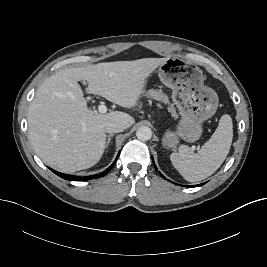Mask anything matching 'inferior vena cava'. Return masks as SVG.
I'll list each match as a JSON object with an SVG mask.
<instances>
[{
  "mask_svg": "<svg viewBox=\"0 0 267 267\" xmlns=\"http://www.w3.org/2000/svg\"><path fill=\"white\" fill-rule=\"evenodd\" d=\"M127 126L117 120L109 121L105 124L104 130L106 133H119L126 129Z\"/></svg>",
  "mask_w": 267,
  "mask_h": 267,
  "instance_id": "602c4592",
  "label": "inferior vena cava"
}]
</instances>
